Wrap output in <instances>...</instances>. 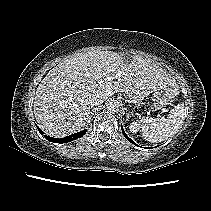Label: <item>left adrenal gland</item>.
Masks as SVG:
<instances>
[{
    "instance_id": "1",
    "label": "left adrenal gland",
    "mask_w": 211,
    "mask_h": 211,
    "mask_svg": "<svg viewBox=\"0 0 211 211\" xmlns=\"http://www.w3.org/2000/svg\"><path fill=\"white\" fill-rule=\"evenodd\" d=\"M131 115H132V116L134 115V113H133L132 111L128 112V113L126 114V117L129 119Z\"/></svg>"
}]
</instances>
